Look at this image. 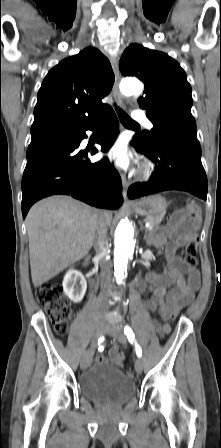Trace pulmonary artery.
Instances as JSON below:
<instances>
[{
  "instance_id": "obj_1",
  "label": "pulmonary artery",
  "mask_w": 221,
  "mask_h": 448,
  "mask_svg": "<svg viewBox=\"0 0 221 448\" xmlns=\"http://www.w3.org/2000/svg\"><path fill=\"white\" fill-rule=\"evenodd\" d=\"M133 121L136 123H145L148 125V127H152L151 122L146 117V114L144 111H136L132 115Z\"/></svg>"
}]
</instances>
